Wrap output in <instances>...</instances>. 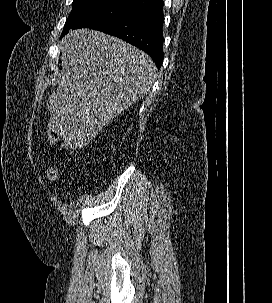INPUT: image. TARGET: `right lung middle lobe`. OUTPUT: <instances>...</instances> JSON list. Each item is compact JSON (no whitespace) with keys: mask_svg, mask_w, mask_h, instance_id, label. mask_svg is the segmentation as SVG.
I'll return each instance as SVG.
<instances>
[{"mask_svg":"<svg viewBox=\"0 0 272 303\" xmlns=\"http://www.w3.org/2000/svg\"><path fill=\"white\" fill-rule=\"evenodd\" d=\"M72 7L61 37L71 29L90 28L139 9L137 4L125 0H74Z\"/></svg>","mask_w":272,"mask_h":303,"instance_id":"dd1d6c3e","label":"right lung middle lobe"}]
</instances>
